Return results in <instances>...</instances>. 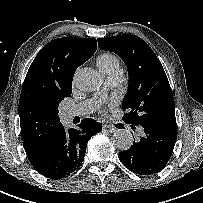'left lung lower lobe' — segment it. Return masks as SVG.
<instances>
[{"label":"left lung lower lobe","mask_w":203,"mask_h":203,"mask_svg":"<svg viewBox=\"0 0 203 203\" xmlns=\"http://www.w3.org/2000/svg\"><path fill=\"white\" fill-rule=\"evenodd\" d=\"M130 125L133 131H139L140 137L128 150L119 152L120 161L138 175H152L163 170L173 152L177 128L156 123Z\"/></svg>","instance_id":"0a47b994"}]
</instances>
